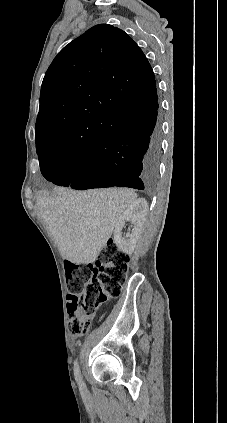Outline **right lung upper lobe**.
Here are the masks:
<instances>
[{"instance_id":"obj_1","label":"right lung upper lobe","mask_w":227,"mask_h":423,"mask_svg":"<svg viewBox=\"0 0 227 423\" xmlns=\"http://www.w3.org/2000/svg\"><path fill=\"white\" fill-rule=\"evenodd\" d=\"M155 90L154 73L140 47L121 29L96 25L65 46L48 68L36 141L89 149L102 136L128 127L107 109L146 100Z\"/></svg>"}]
</instances>
